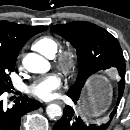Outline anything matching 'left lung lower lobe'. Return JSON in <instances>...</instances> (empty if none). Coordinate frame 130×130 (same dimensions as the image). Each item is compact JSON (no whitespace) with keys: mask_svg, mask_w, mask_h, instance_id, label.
<instances>
[{"mask_svg":"<svg viewBox=\"0 0 130 130\" xmlns=\"http://www.w3.org/2000/svg\"><path fill=\"white\" fill-rule=\"evenodd\" d=\"M119 74L121 76V83H125L124 74L125 71L121 69L119 71ZM74 103H77V100L79 97L69 96ZM119 100H117L116 105H119ZM117 111V107L113 109V111L110 113L109 121L105 124L96 125V124H87L85 123L80 117H77L75 115L74 110L70 106H66L63 111V116L60 120L56 122V124L53 127V130H106L109 126L112 118L114 117L115 113Z\"/></svg>","mask_w":130,"mask_h":130,"instance_id":"1","label":"left lung lower lobe"}]
</instances>
